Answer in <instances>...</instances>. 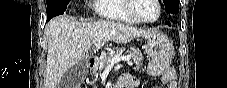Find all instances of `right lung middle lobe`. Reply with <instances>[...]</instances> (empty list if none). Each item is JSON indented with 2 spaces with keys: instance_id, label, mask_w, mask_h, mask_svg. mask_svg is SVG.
<instances>
[{
  "instance_id": "1",
  "label": "right lung middle lobe",
  "mask_w": 227,
  "mask_h": 88,
  "mask_svg": "<svg viewBox=\"0 0 227 88\" xmlns=\"http://www.w3.org/2000/svg\"><path fill=\"white\" fill-rule=\"evenodd\" d=\"M70 0H47V20L65 12Z\"/></svg>"
}]
</instances>
